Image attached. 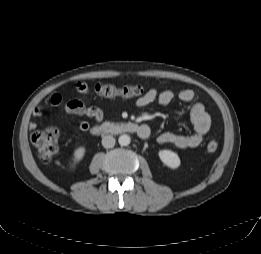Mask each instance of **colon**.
<instances>
[{
	"mask_svg": "<svg viewBox=\"0 0 261 254\" xmlns=\"http://www.w3.org/2000/svg\"><path fill=\"white\" fill-rule=\"evenodd\" d=\"M77 90L84 95H94L104 98L121 97L125 99L134 98L143 93L142 87L138 85L116 86L113 84H96L89 86L85 83H79ZM53 102L58 103L59 98L54 97ZM60 138V133L55 128L36 130L31 136L32 143L39 157L46 163L54 159L58 151ZM206 149L209 153H214L218 149V144L211 141L207 144Z\"/></svg>",
	"mask_w": 261,
	"mask_h": 254,
	"instance_id": "5ec220e1",
	"label": "colon"
}]
</instances>
